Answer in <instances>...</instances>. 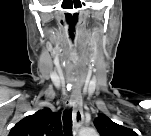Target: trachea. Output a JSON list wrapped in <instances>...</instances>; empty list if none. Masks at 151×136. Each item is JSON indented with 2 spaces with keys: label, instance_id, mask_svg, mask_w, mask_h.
Wrapping results in <instances>:
<instances>
[{
  "label": "trachea",
  "instance_id": "trachea-1",
  "mask_svg": "<svg viewBox=\"0 0 151 136\" xmlns=\"http://www.w3.org/2000/svg\"><path fill=\"white\" fill-rule=\"evenodd\" d=\"M64 130L66 133H69L72 129V117L71 110L64 112Z\"/></svg>",
  "mask_w": 151,
  "mask_h": 136
}]
</instances>
